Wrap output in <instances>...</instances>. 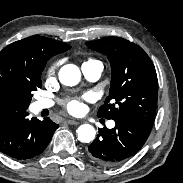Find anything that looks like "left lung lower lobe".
<instances>
[{
  "instance_id": "obj_1",
  "label": "left lung lower lobe",
  "mask_w": 183,
  "mask_h": 183,
  "mask_svg": "<svg viewBox=\"0 0 183 183\" xmlns=\"http://www.w3.org/2000/svg\"><path fill=\"white\" fill-rule=\"evenodd\" d=\"M114 121L116 126L100 129L87 150L91 160L106 167L116 166L135 155L146 142L153 126L133 117H121Z\"/></svg>"
}]
</instances>
